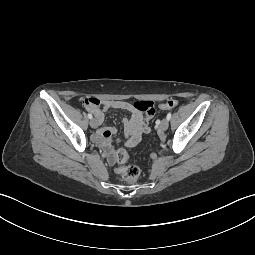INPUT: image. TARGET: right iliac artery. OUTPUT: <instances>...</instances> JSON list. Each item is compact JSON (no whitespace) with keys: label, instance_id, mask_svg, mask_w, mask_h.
Listing matches in <instances>:
<instances>
[{"label":"right iliac artery","instance_id":"82829eb1","mask_svg":"<svg viewBox=\"0 0 255 255\" xmlns=\"http://www.w3.org/2000/svg\"><path fill=\"white\" fill-rule=\"evenodd\" d=\"M88 118L92 119L93 118L92 114L88 113Z\"/></svg>","mask_w":255,"mask_h":255}]
</instances>
